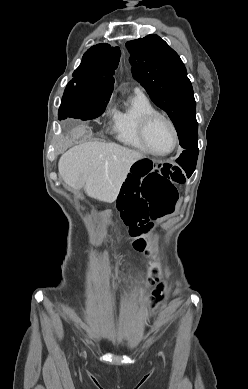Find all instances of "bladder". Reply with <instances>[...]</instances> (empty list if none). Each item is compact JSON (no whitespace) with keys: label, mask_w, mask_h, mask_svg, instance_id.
I'll use <instances>...</instances> for the list:
<instances>
[{"label":"bladder","mask_w":248,"mask_h":389,"mask_svg":"<svg viewBox=\"0 0 248 389\" xmlns=\"http://www.w3.org/2000/svg\"><path fill=\"white\" fill-rule=\"evenodd\" d=\"M117 347L120 348V349H123V348H125V345H123V344H117Z\"/></svg>","instance_id":"1"}]
</instances>
